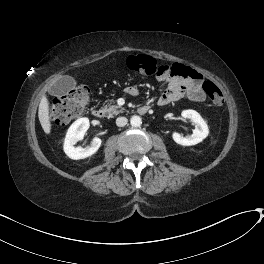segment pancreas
Instances as JSON below:
<instances>
[{
	"label": "pancreas",
	"mask_w": 264,
	"mask_h": 264,
	"mask_svg": "<svg viewBox=\"0 0 264 264\" xmlns=\"http://www.w3.org/2000/svg\"><path fill=\"white\" fill-rule=\"evenodd\" d=\"M123 108L120 109L119 106L117 105H106L104 106V108L102 109V111L106 114V116L108 118H112L115 115H118L119 113L123 112Z\"/></svg>",
	"instance_id": "obj_1"
}]
</instances>
